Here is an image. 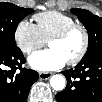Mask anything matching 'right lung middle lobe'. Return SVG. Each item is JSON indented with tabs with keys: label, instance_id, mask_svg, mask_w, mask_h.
<instances>
[{
	"label": "right lung middle lobe",
	"instance_id": "1",
	"mask_svg": "<svg viewBox=\"0 0 102 102\" xmlns=\"http://www.w3.org/2000/svg\"><path fill=\"white\" fill-rule=\"evenodd\" d=\"M33 9L18 7L12 3H0V48L17 49L15 31L19 22Z\"/></svg>",
	"mask_w": 102,
	"mask_h": 102
}]
</instances>
